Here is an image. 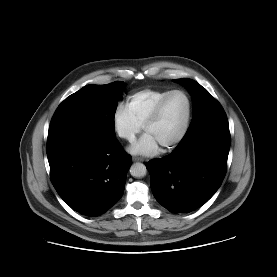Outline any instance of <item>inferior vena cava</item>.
Returning a JSON list of instances; mask_svg holds the SVG:
<instances>
[{"instance_id":"602c4592","label":"inferior vena cava","mask_w":277,"mask_h":277,"mask_svg":"<svg viewBox=\"0 0 277 277\" xmlns=\"http://www.w3.org/2000/svg\"><path fill=\"white\" fill-rule=\"evenodd\" d=\"M122 136L127 137L128 139H132V138H133V137H132L130 134H128V133H124Z\"/></svg>"}]
</instances>
